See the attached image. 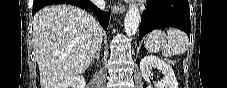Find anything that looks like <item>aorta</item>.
I'll use <instances>...</instances> for the list:
<instances>
[{"label":"aorta","mask_w":227,"mask_h":88,"mask_svg":"<svg viewBox=\"0 0 227 88\" xmlns=\"http://www.w3.org/2000/svg\"><path fill=\"white\" fill-rule=\"evenodd\" d=\"M141 16L138 7L132 5L127 11L125 20H124V28L125 32L128 36H132L136 33L139 24H140Z\"/></svg>","instance_id":"obj_1"}]
</instances>
